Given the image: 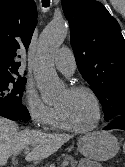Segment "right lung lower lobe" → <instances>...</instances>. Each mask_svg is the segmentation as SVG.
<instances>
[{"label": "right lung lower lobe", "mask_w": 125, "mask_h": 167, "mask_svg": "<svg viewBox=\"0 0 125 167\" xmlns=\"http://www.w3.org/2000/svg\"><path fill=\"white\" fill-rule=\"evenodd\" d=\"M0 116L13 121L30 119V114L25 106L9 101H0Z\"/></svg>", "instance_id": "obj_1"}]
</instances>
